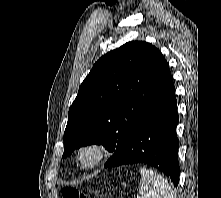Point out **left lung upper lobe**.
Listing matches in <instances>:
<instances>
[{"instance_id": "left-lung-upper-lobe-1", "label": "left lung upper lobe", "mask_w": 221, "mask_h": 198, "mask_svg": "<svg viewBox=\"0 0 221 198\" xmlns=\"http://www.w3.org/2000/svg\"><path fill=\"white\" fill-rule=\"evenodd\" d=\"M169 79L167 61L150 43L128 42L102 56L69 109L63 158L90 144L119 151L160 99Z\"/></svg>"}]
</instances>
